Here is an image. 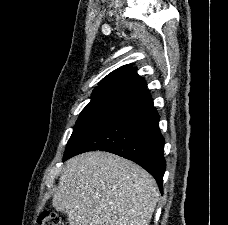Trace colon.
Segmentation results:
<instances>
[{
  "label": "colon",
  "instance_id": "5ec220e1",
  "mask_svg": "<svg viewBox=\"0 0 228 225\" xmlns=\"http://www.w3.org/2000/svg\"><path fill=\"white\" fill-rule=\"evenodd\" d=\"M39 225H65L59 214L46 209L39 217Z\"/></svg>",
  "mask_w": 228,
  "mask_h": 225
}]
</instances>
